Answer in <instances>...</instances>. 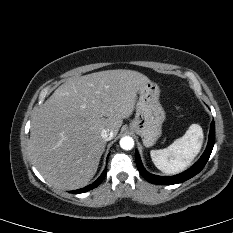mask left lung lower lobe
I'll return each mask as SVG.
<instances>
[{"label": "left lung lower lobe", "instance_id": "1", "mask_svg": "<svg viewBox=\"0 0 233 233\" xmlns=\"http://www.w3.org/2000/svg\"><path fill=\"white\" fill-rule=\"evenodd\" d=\"M214 142H215V123H214V121H212L208 145H207V148H206L204 154L202 155V157L199 159V161L193 167H191L190 169H188L184 173H181V174H178L175 176H168V177L167 176H156V175L148 173L143 168L137 151L135 152L136 164H137V167H138L141 175L150 183L159 184V185H171V184L182 183V182L190 179L191 177L195 176L203 169V167L205 166V164L207 163V161L210 157V154H211L213 146H214Z\"/></svg>", "mask_w": 233, "mask_h": 233}]
</instances>
